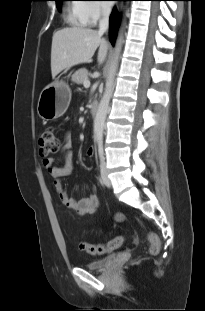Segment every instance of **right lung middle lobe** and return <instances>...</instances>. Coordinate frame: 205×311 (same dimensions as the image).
<instances>
[{"label": "right lung middle lobe", "mask_w": 205, "mask_h": 311, "mask_svg": "<svg viewBox=\"0 0 205 311\" xmlns=\"http://www.w3.org/2000/svg\"><path fill=\"white\" fill-rule=\"evenodd\" d=\"M56 1V6H57V8L60 10L61 9V3H62V1H64V0H55Z\"/></svg>", "instance_id": "right-lung-middle-lobe-1"}]
</instances>
